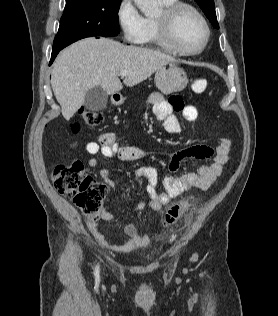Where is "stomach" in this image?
Returning <instances> with one entry per match:
<instances>
[{"instance_id": "1", "label": "stomach", "mask_w": 278, "mask_h": 316, "mask_svg": "<svg viewBox=\"0 0 278 316\" xmlns=\"http://www.w3.org/2000/svg\"><path fill=\"white\" fill-rule=\"evenodd\" d=\"M187 83L186 72L174 62L164 64L156 71L155 84L163 94L182 91ZM123 100H114V104L119 105Z\"/></svg>"}]
</instances>
